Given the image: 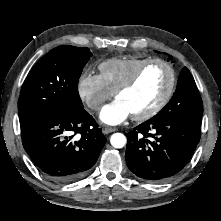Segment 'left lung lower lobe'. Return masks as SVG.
Masks as SVG:
<instances>
[{
  "mask_svg": "<svg viewBox=\"0 0 221 221\" xmlns=\"http://www.w3.org/2000/svg\"><path fill=\"white\" fill-rule=\"evenodd\" d=\"M200 132L179 116L158 113L127 134L126 164L141 179L166 181L189 162Z\"/></svg>",
  "mask_w": 221,
  "mask_h": 221,
  "instance_id": "0a47b994",
  "label": "left lung lower lobe"
}]
</instances>
